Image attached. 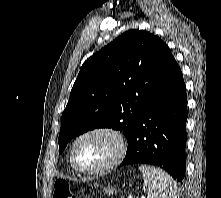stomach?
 <instances>
[{
    "label": "stomach",
    "instance_id": "stomach-1",
    "mask_svg": "<svg viewBox=\"0 0 221 198\" xmlns=\"http://www.w3.org/2000/svg\"><path fill=\"white\" fill-rule=\"evenodd\" d=\"M104 191L107 195H113L114 193H116V189L110 186L106 187Z\"/></svg>",
    "mask_w": 221,
    "mask_h": 198
}]
</instances>
